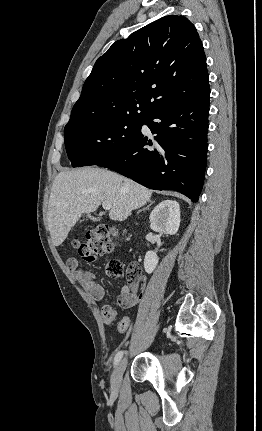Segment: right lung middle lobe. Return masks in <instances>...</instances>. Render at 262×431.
<instances>
[{"label":"right lung middle lobe","instance_id":"1","mask_svg":"<svg viewBox=\"0 0 262 431\" xmlns=\"http://www.w3.org/2000/svg\"><path fill=\"white\" fill-rule=\"evenodd\" d=\"M146 118L121 116L66 126L65 147L73 167L96 165L127 145Z\"/></svg>","mask_w":262,"mask_h":431}]
</instances>
